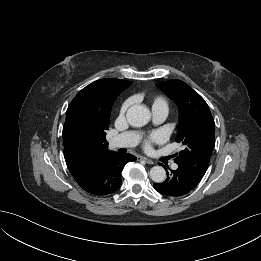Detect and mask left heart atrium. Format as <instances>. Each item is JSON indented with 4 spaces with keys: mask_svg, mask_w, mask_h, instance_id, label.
<instances>
[{
    "mask_svg": "<svg viewBox=\"0 0 261 261\" xmlns=\"http://www.w3.org/2000/svg\"><path fill=\"white\" fill-rule=\"evenodd\" d=\"M164 140V136L160 132H153L145 137L143 141V147L146 150H150L155 143H161Z\"/></svg>",
    "mask_w": 261,
    "mask_h": 261,
    "instance_id": "left-heart-atrium-1",
    "label": "left heart atrium"
}]
</instances>
